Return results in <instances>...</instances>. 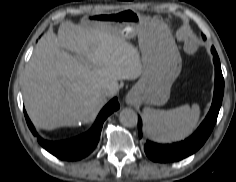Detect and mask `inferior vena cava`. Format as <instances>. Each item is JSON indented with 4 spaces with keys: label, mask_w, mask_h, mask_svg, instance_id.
Instances as JSON below:
<instances>
[{
    "label": "inferior vena cava",
    "mask_w": 236,
    "mask_h": 182,
    "mask_svg": "<svg viewBox=\"0 0 236 182\" xmlns=\"http://www.w3.org/2000/svg\"><path fill=\"white\" fill-rule=\"evenodd\" d=\"M101 94L104 96V97H112V96H114V91L112 90V89H103L102 91H101Z\"/></svg>",
    "instance_id": "obj_1"
}]
</instances>
